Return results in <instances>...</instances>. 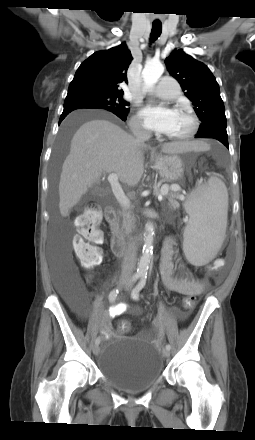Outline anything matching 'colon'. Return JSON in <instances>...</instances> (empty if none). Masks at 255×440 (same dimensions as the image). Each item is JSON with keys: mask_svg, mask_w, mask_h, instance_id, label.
I'll use <instances>...</instances> for the list:
<instances>
[{"mask_svg": "<svg viewBox=\"0 0 255 440\" xmlns=\"http://www.w3.org/2000/svg\"><path fill=\"white\" fill-rule=\"evenodd\" d=\"M100 223L101 214L95 207L87 208L75 220L78 234L73 240L74 252L82 265L87 268H93L101 263L102 250L99 246L104 242V236L99 228ZM183 302L191 306L195 303V296H188ZM121 329L128 330L129 324L123 322Z\"/></svg>", "mask_w": 255, "mask_h": 440, "instance_id": "colon-1", "label": "colon"}]
</instances>
